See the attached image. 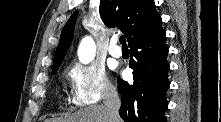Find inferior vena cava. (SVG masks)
Segmentation results:
<instances>
[{
	"mask_svg": "<svg viewBox=\"0 0 221 122\" xmlns=\"http://www.w3.org/2000/svg\"><path fill=\"white\" fill-rule=\"evenodd\" d=\"M104 94V105L108 112L109 122H117L119 119V108L121 106L118 92L113 88H106Z\"/></svg>",
	"mask_w": 221,
	"mask_h": 122,
	"instance_id": "602c4592",
	"label": "inferior vena cava"
}]
</instances>
